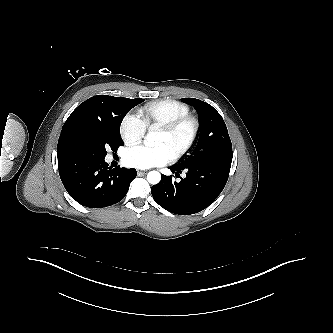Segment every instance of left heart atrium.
<instances>
[{
    "label": "left heart atrium",
    "instance_id": "1",
    "mask_svg": "<svg viewBox=\"0 0 333 333\" xmlns=\"http://www.w3.org/2000/svg\"><path fill=\"white\" fill-rule=\"evenodd\" d=\"M172 159V154L164 145L148 147L138 145L128 148L124 153L125 163L134 168L147 169L162 166Z\"/></svg>",
    "mask_w": 333,
    "mask_h": 333
}]
</instances>
